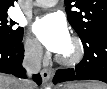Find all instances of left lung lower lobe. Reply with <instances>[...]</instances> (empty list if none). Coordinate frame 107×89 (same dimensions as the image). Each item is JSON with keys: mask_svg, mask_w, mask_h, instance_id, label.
Segmentation results:
<instances>
[{"mask_svg": "<svg viewBox=\"0 0 107 89\" xmlns=\"http://www.w3.org/2000/svg\"><path fill=\"white\" fill-rule=\"evenodd\" d=\"M85 55L75 69L56 71L54 83L94 79L107 83V29H98L82 40Z\"/></svg>", "mask_w": 107, "mask_h": 89, "instance_id": "1", "label": "left lung lower lobe"}]
</instances>
